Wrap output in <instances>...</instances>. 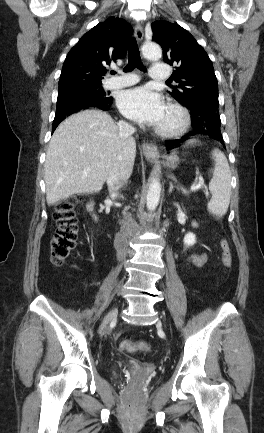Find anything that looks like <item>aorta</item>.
<instances>
[{"label":"aorta","instance_id":"762f6f07","mask_svg":"<svg viewBox=\"0 0 264 433\" xmlns=\"http://www.w3.org/2000/svg\"><path fill=\"white\" fill-rule=\"evenodd\" d=\"M142 54L150 60H158L162 56V50L159 45L149 42L142 46ZM161 184L157 179H152L146 196V206L149 211H154L160 199Z\"/></svg>","mask_w":264,"mask_h":433}]
</instances>
